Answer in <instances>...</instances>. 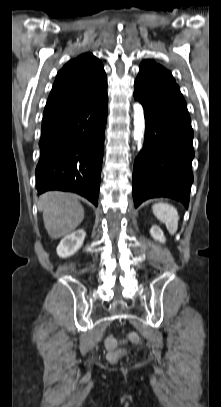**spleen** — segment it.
Listing matches in <instances>:
<instances>
[{"label": "spleen", "instance_id": "obj_1", "mask_svg": "<svg viewBox=\"0 0 221 407\" xmlns=\"http://www.w3.org/2000/svg\"><path fill=\"white\" fill-rule=\"evenodd\" d=\"M154 215L165 223L170 234H175L178 229L179 215L175 207L168 203H156L152 206Z\"/></svg>", "mask_w": 221, "mask_h": 407}]
</instances>
